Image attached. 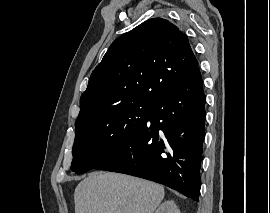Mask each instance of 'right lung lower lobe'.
Masks as SVG:
<instances>
[{
  "label": "right lung lower lobe",
  "mask_w": 270,
  "mask_h": 213,
  "mask_svg": "<svg viewBox=\"0 0 270 213\" xmlns=\"http://www.w3.org/2000/svg\"><path fill=\"white\" fill-rule=\"evenodd\" d=\"M205 117L197 68L158 99L139 130L95 169L152 180L198 201Z\"/></svg>",
  "instance_id": "1"
}]
</instances>
